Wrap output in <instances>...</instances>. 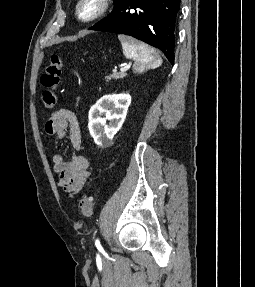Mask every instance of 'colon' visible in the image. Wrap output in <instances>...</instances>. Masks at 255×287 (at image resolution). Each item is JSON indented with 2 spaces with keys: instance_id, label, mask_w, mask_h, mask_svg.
<instances>
[{
  "instance_id": "5ec220e1",
  "label": "colon",
  "mask_w": 255,
  "mask_h": 287,
  "mask_svg": "<svg viewBox=\"0 0 255 287\" xmlns=\"http://www.w3.org/2000/svg\"><path fill=\"white\" fill-rule=\"evenodd\" d=\"M62 69V58L58 54L50 57L49 64L46 66L41 76V83L46 88L42 94V101L47 109H53L56 105V90L60 83ZM79 206L84 217H91L93 214L92 197L83 194L79 199Z\"/></svg>"
}]
</instances>
